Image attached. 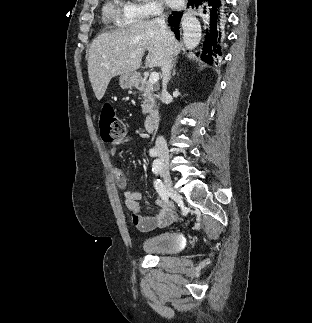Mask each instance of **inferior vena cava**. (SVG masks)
I'll return each mask as SVG.
<instances>
[{"instance_id": "1", "label": "inferior vena cava", "mask_w": 312, "mask_h": 323, "mask_svg": "<svg viewBox=\"0 0 312 323\" xmlns=\"http://www.w3.org/2000/svg\"><path fill=\"white\" fill-rule=\"evenodd\" d=\"M159 18H155L154 20V24H158L159 28H161V34H164L168 44H173L175 38H174V34L173 32H170V30H168V26L165 22V18L164 16H161V14H158ZM172 60H173V56L169 50L167 56H165L163 62H162V98L163 100H165L166 96H167V82L168 80H170V70L172 68ZM156 148H162L163 152H165V154H167L168 152V148H167V144H166V140H164L163 136H158L156 142Z\"/></svg>"}]
</instances>
